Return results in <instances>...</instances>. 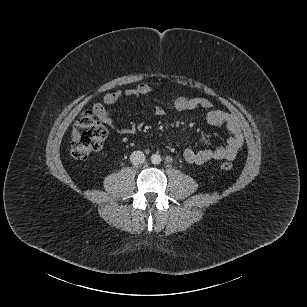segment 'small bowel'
I'll use <instances>...</instances> for the list:
<instances>
[{
    "mask_svg": "<svg viewBox=\"0 0 307 307\" xmlns=\"http://www.w3.org/2000/svg\"><path fill=\"white\" fill-rule=\"evenodd\" d=\"M151 92L152 88L150 85L141 83L135 88L106 93L103 97V103L94 104L92 112L102 123L118 133L134 134L137 130L136 125L131 123L125 127H117L113 119V112L116 109H108L105 105L114 106L122 99L140 98ZM173 108L178 112L191 111L199 108L203 109L205 110V118L208 123L214 126L225 127L229 132V138L225 145H220L214 149H203L199 151L186 148L183 156L188 163L200 165L210 160H233L242 149L244 137L237 120L225 111L213 109L211 101L207 98L180 96L174 100ZM153 111L156 115L162 114V109L159 107H154Z\"/></svg>",
    "mask_w": 307,
    "mask_h": 307,
    "instance_id": "small-bowel-1",
    "label": "small bowel"
}]
</instances>
